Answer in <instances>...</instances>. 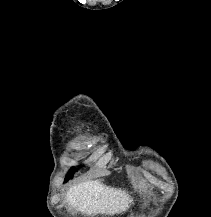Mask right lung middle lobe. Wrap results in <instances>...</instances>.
I'll return each instance as SVG.
<instances>
[{"instance_id":"1","label":"right lung middle lobe","mask_w":211,"mask_h":217,"mask_svg":"<svg viewBox=\"0 0 211 217\" xmlns=\"http://www.w3.org/2000/svg\"><path fill=\"white\" fill-rule=\"evenodd\" d=\"M71 170L74 171V168H72ZM72 175H73V172H70V173L68 174V176L66 177L65 182L68 181L69 179H71V178H72Z\"/></svg>"}]
</instances>
